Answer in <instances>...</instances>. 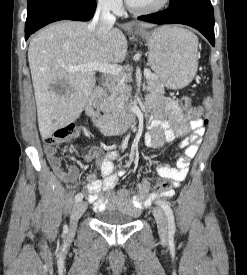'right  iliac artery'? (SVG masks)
Returning a JSON list of instances; mask_svg holds the SVG:
<instances>
[{
    "instance_id": "obj_1",
    "label": "right iliac artery",
    "mask_w": 247,
    "mask_h": 275,
    "mask_svg": "<svg viewBox=\"0 0 247 275\" xmlns=\"http://www.w3.org/2000/svg\"><path fill=\"white\" fill-rule=\"evenodd\" d=\"M83 199V194L82 193H78L75 196V202H80Z\"/></svg>"
}]
</instances>
